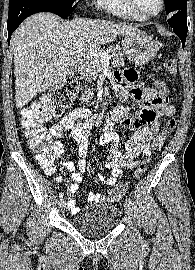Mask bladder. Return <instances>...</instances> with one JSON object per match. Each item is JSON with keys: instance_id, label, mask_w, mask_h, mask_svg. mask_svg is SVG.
Wrapping results in <instances>:
<instances>
[{"instance_id": "obj_1", "label": "bladder", "mask_w": 195, "mask_h": 270, "mask_svg": "<svg viewBox=\"0 0 195 270\" xmlns=\"http://www.w3.org/2000/svg\"><path fill=\"white\" fill-rule=\"evenodd\" d=\"M120 219V210L114 204L87 207L72 218L73 226L88 235H101L114 229Z\"/></svg>"}]
</instances>
